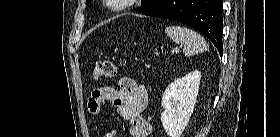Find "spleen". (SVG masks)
<instances>
[{"mask_svg":"<svg viewBox=\"0 0 280 137\" xmlns=\"http://www.w3.org/2000/svg\"><path fill=\"white\" fill-rule=\"evenodd\" d=\"M165 33L175 43L183 45V53L187 57L207 51L208 49L205 39L187 27L169 26L165 29Z\"/></svg>","mask_w":280,"mask_h":137,"instance_id":"3e777b00","label":"spleen"}]
</instances>
